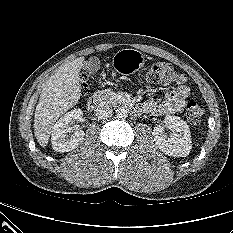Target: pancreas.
Listing matches in <instances>:
<instances>
[{
	"label": "pancreas",
	"mask_w": 233,
	"mask_h": 233,
	"mask_svg": "<svg viewBox=\"0 0 233 233\" xmlns=\"http://www.w3.org/2000/svg\"><path fill=\"white\" fill-rule=\"evenodd\" d=\"M94 95L99 100L109 104H115L118 101L117 94L109 89L97 91Z\"/></svg>",
	"instance_id": "pancreas-1"
}]
</instances>
